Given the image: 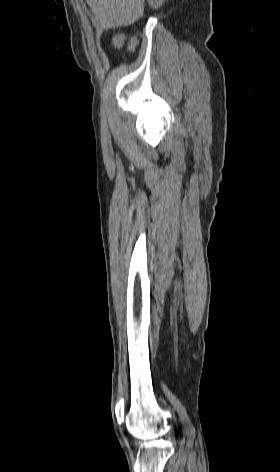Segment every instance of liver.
Segmentation results:
<instances>
[{"label": "liver", "mask_w": 280, "mask_h": 472, "mask_svg": "<svg viewBox=\"0 0 280 472\" xmlns=\"http://www.w3.org/2000/svg\"><path fill=\"white\" fill-rule=\"evenodd\" d=\"M94 14V24L103 29L126 26L144 12V0H86Z\"/></svg>", "instance_id": "liver-1"}]
</instances>
